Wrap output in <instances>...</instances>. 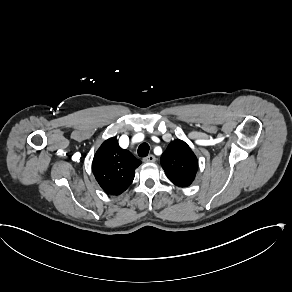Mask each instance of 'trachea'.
<instances>
[{
  "mask_svg": "<svg viewBox=\"0 0 292 292\" xmlns=\"http://www.w3.org/2000/svg\"><path fill=\"white\" fill-rule=\"evenodd\" d=\"M149 150H150L149 145L146 142H144L140 144V146L138 147V155L140 157H146L149 154Z\"/></svg>",
  "mask_w": 292,
  "mask_h": 292,
  "instance_id": "obj_1",
  "label": "trachea"
}]
</instances>
